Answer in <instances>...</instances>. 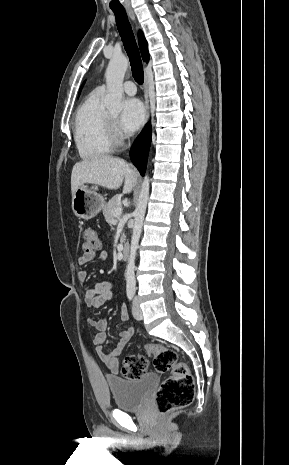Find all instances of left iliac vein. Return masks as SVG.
I'll list each match as a JSON object with an SVG mask.
<instances>
[{
  "instance_id": "1",
  "label": "left iliac vein",
  "mask_w": 289,
  "mask_h": 465,
  "mask_svg": "<svg viewBox=\"0 0 289 465\" xmlns=\"http://www.w3.org/2000/svg\"><path fill=\"white\" fill-rule=\"evenodd\" d=\"M132 314L136 320H141L143 317L142 310L139 306V301L137 298L133 301Z\"/></svg>"
}]
</instances>
